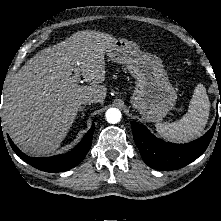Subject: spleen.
<instances>
[{
    "label": "spleen",
    "instance_id": "3e777b00",
    "mask_svg": "<svg viewBox=\"0 0 221 221\" xmlns=\"http://www.w3.org/2000/svg\"><path fill=\"white\" fill-rule=\"evenodd\" d=\"M210 102L206 89L198 84L189 103L188 112L172 123H157V133L172 142H188L199 137L208 122Z\"/></svg>",
    "mask_w": 221,
    "mask_h": 221
}]
</instances>
